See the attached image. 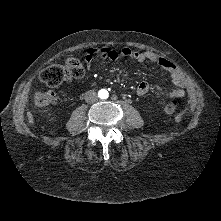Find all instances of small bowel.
Listing matches in <instances>:
<instances>
[{
    "label": "small bowel",
    "mask_w": 221,
    "mask_h": 221,
    "mask_svg": "<svg viewBox=\"0 0 221 221\" xmlns=\"http://www.w3.org/2000/svg\"><path fill=\"white\" fill-rule=\"evenodd\" d=\"M98 57L107 60H118L121 57H127L139 63L145 61L152 62L169 74L173 83V88L169 90H162L150 86L147 82H141L137 87V94L145 95L150 92H154L162 98H180L184 96L185 79L183 74L174 63L158 54L150 51H136L128 47H102L89 48L86 50L85 60L88 65H90L93 60Z\"/></svg>",
    "instance_id": "small-bowel-1"
}]
</instances>
